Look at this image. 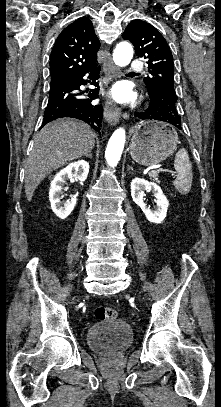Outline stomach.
Instances as JSON below:
<instances>
[{
    "label": "stomach",
    "instance_id": "stomach-1",
    "mask_svg": "<svg viewBox=\"0 0 221 407\" xmlns=\"http://www.w3.org/2000/svg\"><path fill=\"white\" fill-rule=\"evenodd\" d=\"M178 142V134L170 124L142 121L133 128L130 155L140 165H156L173 153Z\"/></svg>",
    "mask_w": 221,
    "mask_h": 407
}]
</instances>
